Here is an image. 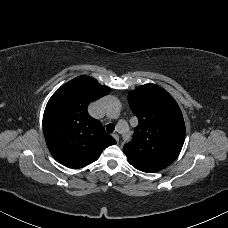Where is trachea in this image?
<instances>
[{"label": "trachea", "instance_id": "1", "mask_svg": "<svg viewBox=\"0 0 228 228\" xmlns=\"http://www.w3.org/2000/svg\"><path fill=\"white\" fill-rule=\"evenodd\" d=\"M106 130L108 133H112L115 130V126L112 123H110L106 126Z\"/></svg>", "mask_w": 228, "mask_h": 228}]
</instances>
